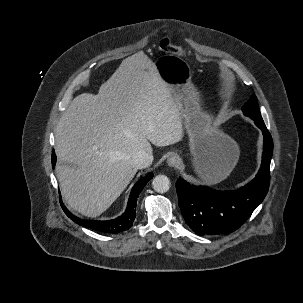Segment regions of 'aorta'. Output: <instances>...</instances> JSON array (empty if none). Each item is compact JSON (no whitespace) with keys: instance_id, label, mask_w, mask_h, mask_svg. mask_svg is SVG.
<instances>
[{"instance_id":"obj_1","label":"aorta","mask_w":303,"mask_h":303,"mask_svg":"<svg viewBox=\"0 0 303 303\" xmlns=\"http://www.w3.org/2000/svg\"><path fill=\"white\" fill-rule=\"evenodd\" d=\"M153 189L159 193H165L170 188V180L165 175H157L152 181Z\"/></svg>"}]
</instances>
